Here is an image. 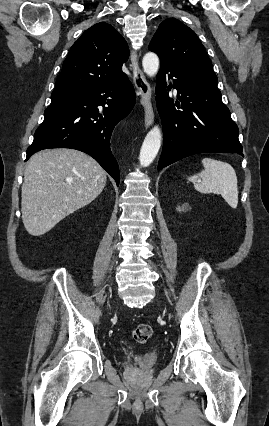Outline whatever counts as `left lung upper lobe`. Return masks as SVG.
I'll return each mask as SVG.
<instances>
[{"label":"left lung upper lobe","instance_id":"5c2ea615","mask_svg":"<svg viewBox=\"0 0 269 426\" xmlns=\"http://www.w3.org/2000/svg\"><path fill=\"white\" fill-rule=\"evenodd\" d=\"M149 50L158 54L160 62L217 79L205 48L195 32L177 19L164 20L154 34Z\"/></svg>","mask_w":269,"mask_h":426}]
</instances>
